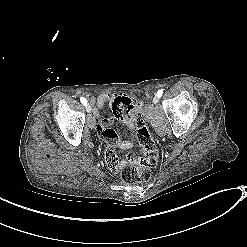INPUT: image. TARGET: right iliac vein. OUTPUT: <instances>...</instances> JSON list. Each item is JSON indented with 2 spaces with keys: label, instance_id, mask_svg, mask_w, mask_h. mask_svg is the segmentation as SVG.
Returning a JSON list of instances; mask_svg holds the SVG:
<instances>
[{
  "label": "right iliac vein",
  "instance_id": "obj_1",
  "mask_svg": "<svg viewBox=\"0 0 247 247\" xmlns=\"http://www.w3.org/2000/svg\"><path fill=\"white\" fill-rule=\"evenodd\" d=\"M86 111L88 112V113H91V111H92V108H91V106L88 104V105H86Z\"/></svg>",
  "mask_w": 247,
  "mask_h": 247
}]
</instances>
